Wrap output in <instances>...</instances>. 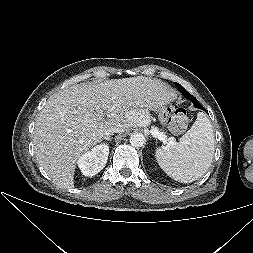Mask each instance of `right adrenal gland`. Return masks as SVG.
<instances>
[{"instance_id": "obj_1", "label": "right adrenal gland", "mask_w": 253, "mask_h": 253, "mask_svg": "<svg viewBox=\"0 0 253 253\" xmlns=\"http://www.w3.org/2000/svg\"><path fill=\"white\" fill-rule=\"evenodd\" d=\"M102 140L111 141L112 139H111V136H108V137H104ZM102 140H101V141H102Z\"/></svg>"}]
</instances>
